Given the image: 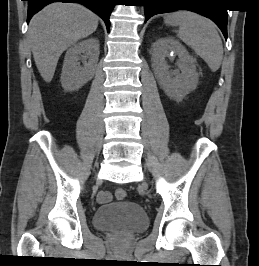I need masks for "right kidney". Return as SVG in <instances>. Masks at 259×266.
Wrapping results in <instances>:
<instances>
[{
	"label": "right kidney",
	"instance_id": "1",
	"mask_svg": "<svg viewBox=\"0 0 259 266\" xmlns=\"http://www.w3.org/2000/svg\"><path fill=\"white\" fill-rule=\"evenodd\" d=\"M98 58V39L89 38L74 44L65 55L61 74L62 87L66 91H75L91 80L97 67ZM81 59L83 66L79 62Z\"/></svg>",
	"mask_w": 259,
	"mask_h": 266
}]
</instances>
